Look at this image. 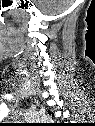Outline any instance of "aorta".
<instances>
[{
    "label": "aorta",
    "instance_id": "obj_1",
    "mask_svg": "<svg viewBox=\"0 0 95 126\" xmlns=\"http://www.w3.org/2000/svg\"><path fill=\"white\" fill-rule=\"evenodd\" d=\"M29 121H41V122H49L52 121L50 117L46 115H40V114H33L28 117Z\"/></svg>",
    "mask_w": 95,
    "mask_h": 126
}]
</instances>
